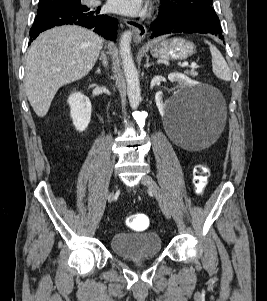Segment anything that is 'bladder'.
Masks as SVG:
<instances>
[{"mask_svg":"<svg viewBox=\"0 0 267 301\" xmlns=\"http://www.w3.org/2000/svg\"><path fill=\"white\" fill-rule=\"evenodd\" d=\"M110 247L122 259H140L159 255L162 251V240L152 231L119 232L110 238Z\"/></svg>","mask_w":267,"mask_h":301,"instance_id":"31cf9c89","label":"bladder"}]
</instances>
